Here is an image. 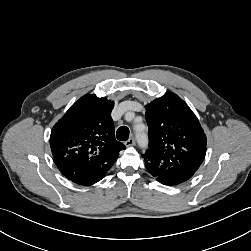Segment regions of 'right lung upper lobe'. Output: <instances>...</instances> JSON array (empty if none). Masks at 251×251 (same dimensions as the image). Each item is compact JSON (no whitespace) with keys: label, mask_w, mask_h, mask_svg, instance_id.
Returning <instances> with one entry per match:
<instances>
[{"label":"right lung upper lobe","mask_w":251,"mask_h":251,"mask_svg":"<svg viewBox=\"0 0 251 251\" xmlns=\"http://www.w3.org/2000/svg\"><path fill=\"white\" fill-rule=\"evenodd\" d=\"M113 107V101L86 95L54 125L51 151L56 166L67 179L81 185L100 180L125 149L115 139Z\"/></svg>","instance_id":"obj_1"}]
</instances>
